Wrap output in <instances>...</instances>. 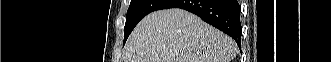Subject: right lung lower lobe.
I'll list each match as a JSON object with an SVG mask.
<instances>
[{"instance_id":"1","label":"right lung lower lobe","mask_w":331,"mask_h":62,"mask_svg":"<svg viewBox=\"0 0 331 62\" xmlns=\"http://www.w3.org/2000/svg\"><path fill=\"white\" fill-rule=\"evenodd\" d=\"M180 8L231 36L241 48L240 5L237 0H171L163 9Z\"/></svg>"}]
</instances>
